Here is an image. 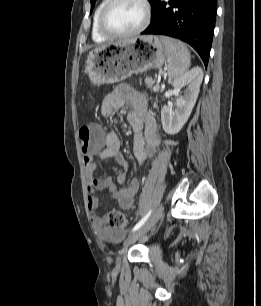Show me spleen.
<instances>
[{"label": "spleen", "mask_w": 261, "mask_h": 306, "mask_svg": "<svg viewBox=\"0 0 261 306\" xmlns=\"http://www.w3.org/2000/svg\"><path fill=\"white\" fill-rule=\"evenodd\" d=\"M160 38L167 55L169 79H177L190 67V52L181 41L166 36Z\"/></svg>", "instance_id": "spleen-1"}]
</instances>
